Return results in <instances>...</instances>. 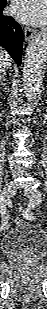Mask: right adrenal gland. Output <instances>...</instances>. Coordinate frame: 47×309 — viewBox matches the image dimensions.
Returning <instances> with one entry per match:
<instances>
[{"instance_id":"1","label":"right adrenal gland","mask_w":47,"mask_h":309,"mask_svg":"<svg viewBox=\"0 0 47 309\" xmlns=\"http://www.w3.org/2000/svg\"><path fill=\"white\" fill-rule=\"evenodd\" d=\"M4 76H5V73H4L3 71H1V73H0V83H1V85H3V86L6 85Z\"/></svg>"}]
</instances>
